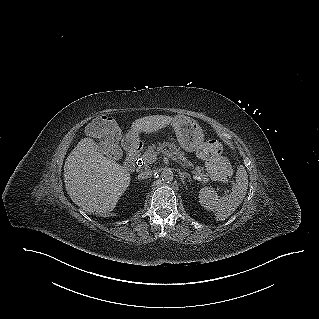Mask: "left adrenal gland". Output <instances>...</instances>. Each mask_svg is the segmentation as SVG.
<instances>
[{"instance_id":"obj_1","label":"left adrenal gland","mask_w":319,"mask_h":319,"mask_svg":"<svg viewBox=\"0 0 319 319\" xmlns=\"http://www.w3.org/2000/svg\"><path fill=\"white\" fill-rule=\"evenodd\" d=\"M179 176H180V179H181V181H182L183 184H185V179H186V178L190 179V176H189L188 173H186V172H181L180 170H179ZM189 181H190V180H189Z\"/></svg>"}]
</instances>
